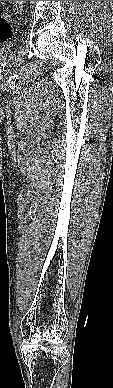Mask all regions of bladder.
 <instances>
[{
	"instance_id": "obj_1",
	"label": "bladder",
	"mask_w": 113,
	"mask_h": 388,
	"mask_svg": "<svg viewBox=\"0 0 113 388\" xmlns=\"http://www.w3.org/2000/svg\"><path fill=\"white\" fill-rule=\"evenodd\" d=\"M6 46H0V55L3 54L6 51Z\"/></svg>"
}]
</instances>
